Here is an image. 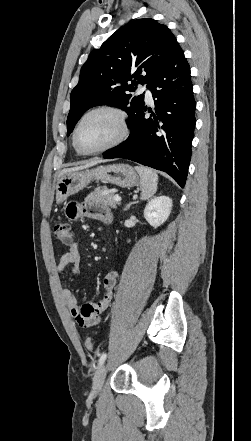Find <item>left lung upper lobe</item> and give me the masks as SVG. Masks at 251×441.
Masks as SVG:
<instances>
[{"label": "left lung upper lobe", "mask_w": 251, "mask_h": 441, "mask_svg": "<svg viewBox=\"0 0 251 441\" xmlns=\"http://www.w3.org/2000/svg\"><path fill=\"white\" fill-rule=\"evenodd\" d=\"M169 28L157 21L136 19L117 30L84 63L72 90L67 136L91 107L108 104L123 109L129 124L144 106V96L133 97L138 84H148L177 45ZM128 81H132L128 85Z\"/></svg>", "instance_id": "5c2ea615"}]
</instances>
